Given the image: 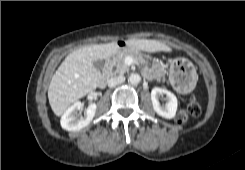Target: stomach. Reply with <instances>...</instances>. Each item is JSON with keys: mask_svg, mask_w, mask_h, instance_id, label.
Returning a JSON list of instances; mask_svg holds the SVG:
<instances>
[{"mask_svg": "<svg viewBox=\"0 0 245 170\" xmlns=\"http://www.w3.org/2000/svg\"><path fill=\"white\" fill-rule=\"evenodd\" d=\"M120 50H130V49H128V48H121ZM147 57H149V56H147ZM183 64H184L183 60H174V61H172L171 68H170L171 76L174 75L175 68H179ZM187 66L189 67V76L191 77V81H190L189 84H183V85H181L182 90L185 91V92L191 91L193 89L194 85H195V79L193 78L194 75H195V72L193 70V67H192L191 64H188V63H187Z\"/></svg>", "mask_w": 245, "mask_h": 170, "instance_id": "obj_1", "label": "stomach"}]
</instances>
